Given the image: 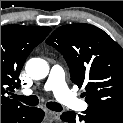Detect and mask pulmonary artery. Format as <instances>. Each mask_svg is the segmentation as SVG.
Here are the masks:
<instances>
[{"instance_id": "e3ab8cb5", "label": "pulmonary artery", "mask_w": 123, "mask_h": 123, "mask_svg": "<svg viewBox=\"0 0 123 123\" xmlns=\"http://www.w3.org/2000/svg\"><path fill=\"white\" fill-rule=\"evenodd\" d=\"M45 89L53 92L57 100L64 105L76 110H85L87 105L77 99L68 89L65 82L64 71L59 66H53L49 72V76L45 83ZM25 95H31L32 90L27 89L24 91Z\"/></svg>"}]
</instances>
